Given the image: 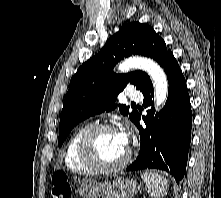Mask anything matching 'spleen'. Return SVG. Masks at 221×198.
Wrapping results in <instances>:
<instances>
[{
	"label": "spleen",
	"mask_w": 221,
	"mask_h": 198,
	"mask_svg": "<svg viewBox=\"0 0 221 198\" xmlns=\"http://www.w3.org/2000/svg\"><path fill=\"white\" fill-rule=\"evenodd\" d=\"M141 178L153 198H161L167 194L169 184L161 174L153 171L144 172L141 174Z\"/></svg>",
	"instance_id": "1"
}]
</instances>
